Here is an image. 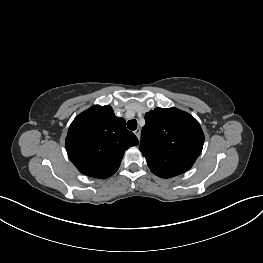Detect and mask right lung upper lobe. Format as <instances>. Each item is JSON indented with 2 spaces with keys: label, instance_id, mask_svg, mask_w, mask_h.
Returning a JSON list of instances; mask_svg holds the SVG:
<instances>
[{
  "label": "right lung upper lobe",
  "instance_id": "right-lung-upper-lobe-1",
  "mask_svg": "<svg viewBox=\"0 0 263 263\" xmlns=\"http://www.w3.org/2000/svg\"><path fill=\"white\" fill-rule=\"evenodd\" d=\"M137 137L110 106L95 105L78 115L66 137V150L78 170L90 177L108 178L119 168L125 150Z\"/></svg>",
  "mask_w": 263,
  "mask_h": 263
}]
</instances>
